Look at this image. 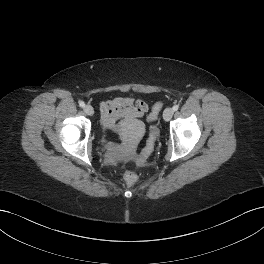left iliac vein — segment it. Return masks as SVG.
<instances>
[{"label":"left iliac vein","instance_id":"obj_1","mask_svg":"<svg viewBox=\"0 0 264 264\" xmlns=\"http://www.w3.org/2000/svg\"><path fill=\"white\" fill-rule=\"evenodd\" d=\"M173 114H174V110L168 107L163 112V118L165 119V121H169L172 118Z\"/></svg>","mask_w":264,"mask_h":264}]
</instances>
